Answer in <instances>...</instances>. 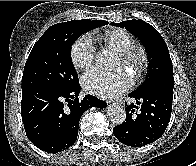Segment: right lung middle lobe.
I'll list each match as a JSON object with an SVG mask.
<instances>
[{
	"instance_id": "1",
	"label": "right lung middle lobe",
	"mask_w": 196,
	"mask_h": 166,
	"mask_svg": "<svg viewBox=\"0 0 196 166\" xmlns=\"http://www.w3.org/2000/svg\"><path fill=\"white\" fill-rule=\"evenodd\" d=\"M108 24L103 20H72L49 27L35 43L24 67L22 89L46 86L68 91L79 84L70 49L83 33Z\"/></svg>"
}]
</instances>
